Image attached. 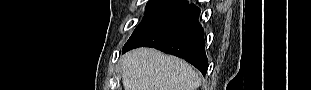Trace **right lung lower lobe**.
<instances>
[{
	"mask_svg": "<svg viewBox=\"0 0 311 90\" xmlns=\"http://www.w3.org/2000/svg\"><path fill=\"white\" fill-rule=\"evenodd\" d=\"M199 14V8L191 4L172 20L140 40L125 44L122 52L141 46L153 47L185 59L202 74H206L208 60L205 55L203 29L198 23Z\"/></svg>",
	"mask_w": 311,
	"mask_h": 90,
	"instance_id": "obj_1",
	"label": "right lung lower lobe"
}]
</instances>
